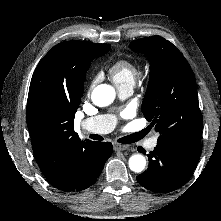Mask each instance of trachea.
I'll use <instances>...</instances> for the list:
<instances>
[{"label": "trachea", "instance_id": "trachea-1", "mask_svg": "<svg viewBox=\"0 0 221 221\" xmlns=\"http://www.w3.org/2000/svg\"><path fill=\"white\" fill-rule=\"evenodd\" d=\"M89 138H91L93 140H103V137H101L100 135H97V134H91L89 136ZM139 139H140V137L137 134H133V135H128V136L118 139V142L122 143V144H129V143H134Z\"/></svg>", "mask_w": 221, "mask_h": 221}]
</instances>
